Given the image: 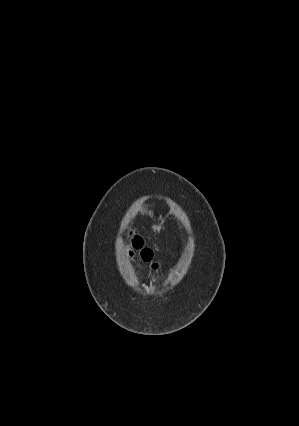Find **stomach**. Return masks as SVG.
<instances>
[{"label":"stomach","mask_w":299,"mask_h":426,"mask_svg":"<svg viewBox=\"0 0 299 426\" xmlns=\"http://www.w3.org/2000/svg\"><path fill=\"white\" fill-rule=\"evenodd\" d=\"M152 228H153L154 231L157 230L159 232L161 230V228H162V224L152 225Z\"/></svg>","instance_id":"obj_1"}]
</instances>
